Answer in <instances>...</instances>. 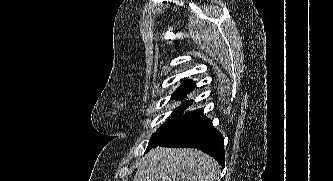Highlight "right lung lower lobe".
<instances>
[{"instance_id":"right-lung-lower-lobe-1","label":"right lung lower lobe","mask_w":333,"mask_h":181,"mask_svg":"<svg viewBox=\"0 0 333 181\" xmlns=\"http://www.w3.org/2000/svg\"><path fill=\"white\" fill-rule=\"evenodd\" d=\"M223 135L213 127L208 118H204L196 127L176 141L158 145L177 148H197L218 160L222 167L225 166V151L223 148ZM151 149V148H150ZM150 149L146 150L149 151Z\"/></svg>"}]
</instances>
